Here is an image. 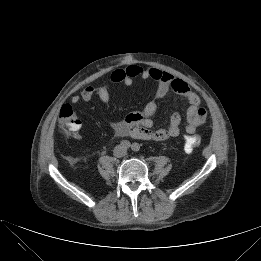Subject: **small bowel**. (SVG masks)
I'll return each mask as SVG.
<instances>
[{
  "label": "small bowel",
  "mask_w": 261,
  "mask_h": 261,
  "mask_svg": "<svg viewBox=\"0 0 261 261\" xmlns=\"http://www.w3.org/2000/svg\"><path fill=\"white\" fill-rule=\"evenodd\" d=\"M136 78L152 79L156 81L155 99L146 103L140 111L129 113L122 121L114 124L113 133L118 137H133L149 141H165L179 136L181 132V115L175 112L171 115L167 128L152 130L153 117L157 110L156 100L163 98L170 90L185 99L187 115L185 131L188 134L196 132L207 119V110L201 105L200 98L183 80L174 78L171 74L156 68H142L130 65L126 68L115 69L110 74V81L114 84L130 86ZM99 98L103 103L110 101V93L106 85H88L78 95L71 98L73 104L80 101H90ZM78 138L79 135L77 134Z\"/></svg>",
  "instance_id": "1"
}]
</instances>
